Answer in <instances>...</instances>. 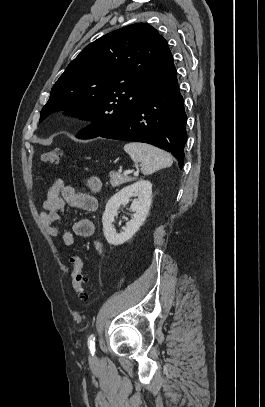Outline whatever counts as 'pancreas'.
I'll return each mask as SVG.
<instances>
[{"label":"pancreas","instance_id":"obj_1","mask_svg":"<svg viewBox=\"0 0 265 407\" xmlns=\"http://www.w3.org/2000/svg\"><path fill=\"white\" fill-rule=\"evenodd\" d=\"M136 177L126 176L117 172H110V183L113 187H118L121 184L134 181Z\"/></svg>","mask_w":265,"mask_h":407}]
</instances>
